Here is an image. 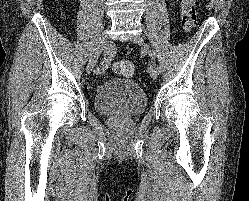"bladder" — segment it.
<instances>
[{"label":"bladder","mask_w":249,"mask_h":201,"mask_svg":"<svg viewBox=\"0 0 249 201\" xmlns=\"http://www.w3.org/2000/svg\"><path fill=\"white\" fill-rule=\"evenodd\" d=\"M147 97L143 89L129 79H111L102 83L94 96V108L102 115L135 116L145 111Z\"/></svg>","instance_id":"31cf9c89"}]
</instances>
